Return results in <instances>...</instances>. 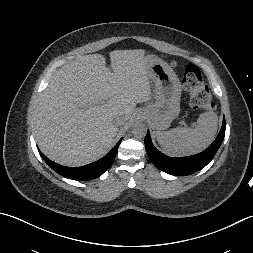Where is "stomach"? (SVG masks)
<instances>
[{
  "label": "stomach",
  "instance_id": "obj_1",
  "mask_svg": "<svg viewBox=\"0 0 253 253\" xmlns=\"http://www.w3.org/2000/svg\"><path fill=\"white\" fill-rule=\"evenodd\" d=\"M147 74L155 83L156 101L144 113L157 130L167 129L180 112L181 84L171 66L164 60L147 55Z\"/></svg>",
  "mask_w": 253,
  "mask_h": 253
}]
</instances>
